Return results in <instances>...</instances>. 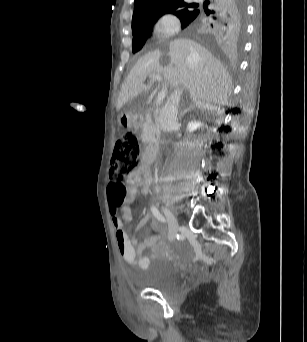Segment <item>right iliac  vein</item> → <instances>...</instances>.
Instances as JSON below:
<instances>
[{"label": "right iliac vein", "mask_w": 307, "mask_h": 342, "mask_svg": "<svg viewBox=\"0 0 307 342\" xmlns=\"http://www.w3.org/2000/svg\"><path fill=\"white\" fill-rule=\"evenodd\" d=\"M163 210L168 220V230H169L168 237L170 240H173L175 239L178 233L179 223L176 217L174 216V214L166 206H164Z\"/></svg>", "instance_id": "63e3f726"}]
</instances>
